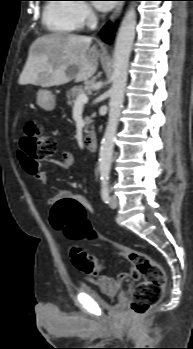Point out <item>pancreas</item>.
I'll list each match as a JSON object with an SVG mask.
<instances>
[{"label":"pancreas","mask_w":193,"mask_h":349,"mask_svg":"<svg viewBox=\"0 0 193 349\" xmlns=\"http://www.w3.org/2000/svg\"><path fill=\"white\" fill-rule=\"evenodd\" d=\"M85 93V89L82 86H74L66 92L67 103L69 106H72L78 97V95ZM91 123L89 118L85 119V124L88 125ZM87 127L85 128V132H87Z\"/></svg>","instance_id":"pancreas-1"}]
</instances>
